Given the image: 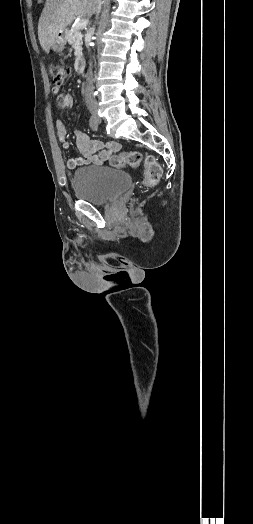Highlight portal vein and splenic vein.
Here are the masks:
<instances>
[{
	"label": "portal vein and splenic vein",
	"mask_w": 253,
	"mask_h": 524,
	"mask_svg": "<svg viewBox=\"0 0 253 524\" xmlns=\"http://www.w3.org/2000/svg\"><path fill=\"white\" fill-rule=\"evenodd\" d=\"M87 23H88V20H87V19H81V20L77 23L76 27H77V28H84V27H86Z\"/></svg>",
	"instance_id": "18ae733b"
}]
</instances>
